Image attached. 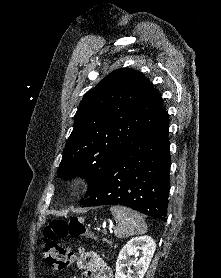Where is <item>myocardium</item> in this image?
I'll use <instances>...</instances> for the list:
<instances>
[{"label": "myocardium", "instance_id": "myocardium-1", "mask_svg": "<svg viewBox=\"0 0 221 278\" xmlns=\"http://www.w3.org/2000/svg\"><path fill=\"white\" fill-rule=\"evenodd\" d=\"M86 183H87L86 176L84 174H77L72 178L70 183V188L73 191L77 192L82 190L85 187Z\"/></svg>", "mask_w": 221, "mask_h": 278}]
</instances>
